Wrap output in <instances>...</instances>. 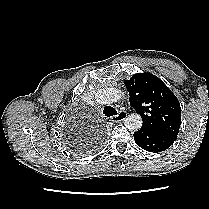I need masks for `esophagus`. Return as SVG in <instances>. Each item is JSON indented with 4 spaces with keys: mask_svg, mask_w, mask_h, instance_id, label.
Listing matches in <instances>:
<instances>
[{
    "mask_svg": "<svg viewBox=\"0 0 209 209\" xmlns=\"http://www.w3.org/2000/svg\"><path fill=\"white\" fill-rule=\"evenodd\" d=\"M127 117V112L120 110L117 115L112 116L110 119L112 122H121Z\"/></svg>",
    "mask_w": 209,
    "mask_h": 209,
    "instance_id": "34e87169",
    "label": "esophagus"
}]
</instances>
